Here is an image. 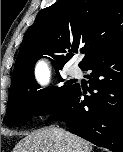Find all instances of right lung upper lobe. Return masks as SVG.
<instances>
[{"instance_id": "right-lung-upper-lobe-1", "label": "right lung upper lobe", "mask_w": 123, "mask_h": 152, "mask_svg": "<svg viewBox=\"0 0 123 152\" xmlns=\"http://www.w3.org/2000/svg\"><path fill=\"white\" fill-rule=\"evenodd\" d=\"M123 39V0H59L41 10L25 33L10 93L34 79V65L50 55L56 69L72 58L77 48L85 53L83 68L100 51ZM68 54H64L66 52Z\"/></svg>"}]
</instances>
